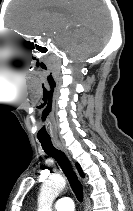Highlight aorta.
<instances>
[{
  "instance_id": "1",
  "label": "aorta",
  "mask_w": 133,
  "mask_h": 211,
  "mask_svg": "<svg viewBox=\"0 0 133 211\" xmlns=\"http://www.w3.org/2000/svg\"><path fill=\"white\" fill-rule=\"evenodd\" d=\"M66 181L61 176H53L46 180L40 189L38 211H50L53 201L65 188Z\"/></svg>"
}]
</instances>
